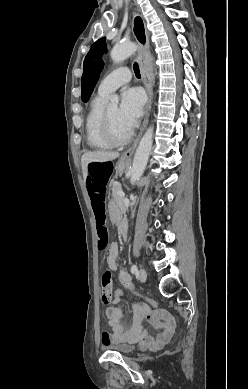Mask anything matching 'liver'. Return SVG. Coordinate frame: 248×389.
Listing matches in <instances>:
<instances>
[{"mask_svg": "<svg viewBox=\"0 0 248 389\" xmlns=\"http://www.w3.org/2000/svg\"><path fill=\"white\" fill-rule=\"evenodd\" d=\"M119 156L118 152L111 151H94V152H86L82 155L81 163H82V171L84 178L88 175V164L92 162L103 163L107 161H112Z\"/></svg>", "mask_w": 248, "mask_h": 389, "instance_id": "liver-1", "label": "liver"}]
</instances>
